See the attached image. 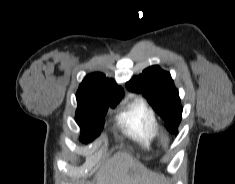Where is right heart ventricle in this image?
Returning a JSON list of instances; mask_svg holds the SVG:
<instances>
[{
    "label": "right heart ventricle",
    "instance_id": "right-heart-ventricle-1",
    "mask_svg": "<svg viewBox=\"0 0 235 184\" xmlns=\"http://www.w3.org/2000/svg\"><path fill=\"white\" fill-rule=\"evenodd\" d=\"M124 133L145 148L157 143L158 122L152 107L143 99H135L124 106L117 115Z\"/></svg>",
    "mask_w": 235,
    "mask_h": 184
}]
</instances>
